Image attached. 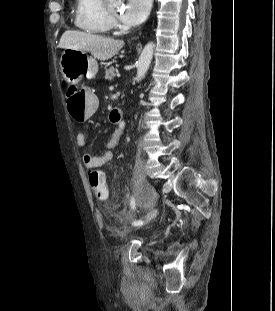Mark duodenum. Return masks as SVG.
Listing matches in <instances>:
<instances>
[{
    "label": "duodenum",
    "instance_id": "410a0bca",
    "mask_svg": "<svg viewBox=\"0 0 275 311\" xmlns=\"http://www.w3.org/2000/svg\"><path fill=\"white\" fill-rule=\"evenodd\" d=\"M114 112H119L120 113V110L119 109H113L111 113H114Z\"/></svg>",
    "mask_w": 275,
    "mask_h": 311
}]
</instances>
